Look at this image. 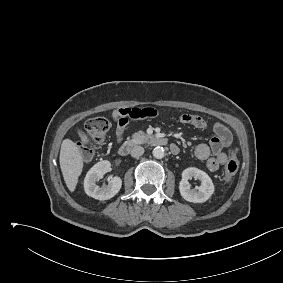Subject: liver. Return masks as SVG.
<instances>
[{
	"label": "liver",
	"instance_id": "obj_1",
	"mask_svg": "<svg viewBox=\"0 0 283 283\" xmlns=\"http://www.w3.org/2000/svg\"><path fill=\"white\" fill-rule=\"evenodd\" d=\"M59 161L66 186L73 192L83 170V157L78 145L70 139H64Z\"/></svg>",
	"mask_w": 283,
	"mask_h": 283
}]
</instances>
